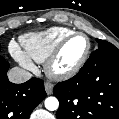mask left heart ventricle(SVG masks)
<instances>
[{"label": "left heart ventricle", "mask_w": 119, "mask_h": 119, "mask_svg": "<svg viewBox=\"0 0 119 119\" xmlns=\"http://www.w3.org/2000/svg\"><path fill=\"white\" fill-rule=\"evenodd\" d=\"M87 41L82 36L73 37L63 48L57 62L56 69L64 70L74 66L84 55Z\"/></svg>", "instance_id": "b2bd125f"}]
</instances>
